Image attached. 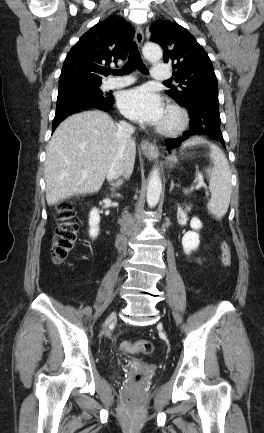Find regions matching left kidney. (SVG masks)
Masks as SVG:
<instances>
[{
	"mask_svg": "<svg viewBox=\"0 0 264 433\" xmlns=\"http://www.w3.org/2000/svg\"><path fill=\"white\" fill-rule=\"evenodd\" d=\"M187 209L190 208L187 207ZM190 226L193 231L187 232L182 238V246L186 254H190L191 251L198 248L200 240L199 234L196 231L202 228V223L198 218L193 217L190 221Z\"/></svg>",
	"mask_w": 264,
	"mask_h": 433,
	"instance_id": "left-kidney-1",
	"label": "left kidney"
}]
</instances>
